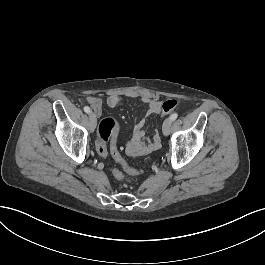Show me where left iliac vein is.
Listing matches in <instances>:
<instances>
[{"instance_id":"left-iliac-vein-1","label":"left iliac vein","mask_w":265,"mask_h":265,"mask_svg":"<svg viewBox=\"0 0 265 265\" xmlns=\"http://www.w3.org/2000/svg\"><path fill=\"white\" fill-rule=\"evenodd\" d=\"M172 120L170 118H167L163 123V133L164 135H168L170 132Z\"/></svg>"}]
</instances>
